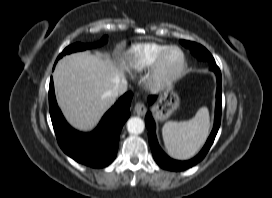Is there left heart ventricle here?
<instances>
[{
    "mask_svg": "<svg viewBox=\"0 0 272 198\" xmlns=\"http://www.w3.org/2000/svg\"><path fill=\"white\" fill-rule=\"evenodd\" d=\"M181 62H182L181 53L178 50H173L166 58L164 65L165 71L167 73L175 72L180 67Z\"/></svg>",
    "mask_w": 272,
    "mask_h": 198,
    "instance_id": "left-heart-ventricle-1",
    "label": "left heart ventricle"
}]
</instances>
